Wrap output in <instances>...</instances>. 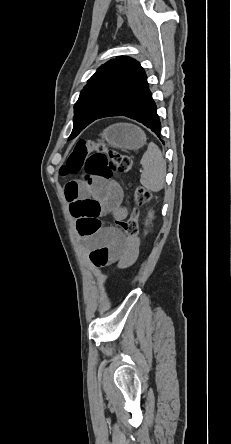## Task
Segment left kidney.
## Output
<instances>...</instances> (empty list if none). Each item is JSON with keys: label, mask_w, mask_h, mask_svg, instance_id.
I'll return each mask as SVG.
<instances>
[{"label": "left kidney", "mask_w": 231, "mask_h": 444, "mask_svg": "<svg viewBox=\"0 0 231 444\" xmlns=\"http://www.w3.org/2000/svg\"><path fill=\"white\" fill-rule=\"evenodd\" d=\"M148 218H149V219H147V220H146V223H145L146 225L149 224V222L154 218V213H153V211H152V212H149V214H148Z\"/></svg>", "instance_id": "obj_1"}]
</instances>
